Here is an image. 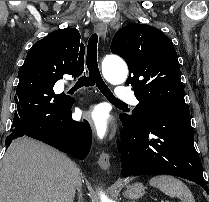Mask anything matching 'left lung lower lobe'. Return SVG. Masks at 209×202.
I'll use <instances>...</instances> for the list:
<instances>
[{
	"mask_svg": "<svg viewBox=\"0 0 209 202\" xmlns=\"http://www.w3.org/2000/svg\"><path fill=\"white\" fill-rule=\"evenodd\" d=\"M120 119L122 176L175 175L197 183L209 194L194 148L190 114L146 109L136 121Z\"/></svg>",
	"mask_w": 209,
	"mask_h": 202,
	"instance_id": "left-lung-lower-lobe-1",
	"label": "left lung lower lobe"
}]
</instances>
